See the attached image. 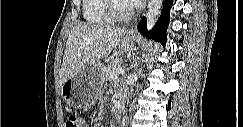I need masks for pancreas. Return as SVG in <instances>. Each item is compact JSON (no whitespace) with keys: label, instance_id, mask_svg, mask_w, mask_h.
Here are the masks:
<instances>
[{"label":"pancreas","instance_id":"obj_1","mask_svg":"<svg viewBox=\"0 0 243 127\" xmlns=\"http://www.w3.org/2000/svg\"><path fill=\"white\" fill-rule=\"evenodd\" d=\"M120 66H121V61L120 60H113V61H111L110 64L105 69V77H106V79H109L112 71L117 69V68H119Z\"/></svg>","mask_w":243,"mask_h":127}]
</instances>
